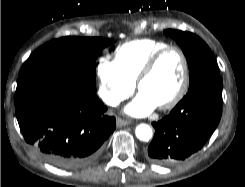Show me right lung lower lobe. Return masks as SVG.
Listing matches in <instances>:
<instances>
[{
  "instance_id": "obj_1",
  "label": "right lung lower lobe",
  "mask_w": 245,
  "mask_h": 187,
  "mask_svg": "<svg viewBox=\"0 0 245 187\" xmlns=\"http://www.w3.org/2000/svg\"><path fill=\"white\" fill-rule=\"evenodd\" d=\"M106 110L95 86L80 79L54 72L18 79L15 112L25 141L59 168L80 169L100 156L116 128Z\"/></svg>"
}]
</instances>
